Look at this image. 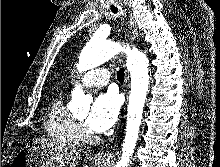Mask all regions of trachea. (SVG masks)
Returning a JSON list of instances; mask_svg holds the SVG:
<instances>
[{
  "instance_id": "trachea-1",
  "label": "trachea",
  "mask_w": 220,
  "mask_h": 167,
  "mask_svg": "<svg viewBox=\"0 0 220 167\" xmlns=\"http://www.w3.org/2000/svg\"><path fill=\"white\" fill-rule=\"evenodd\" d=\"M111 11L116 14L118 12V9L116 7H111ZM124 68H120L117 72V79L120 83L124 82Z\"/></svg>"
}]
</instances>
